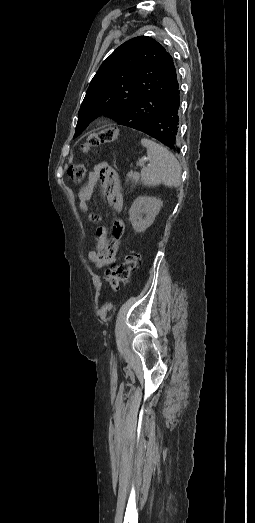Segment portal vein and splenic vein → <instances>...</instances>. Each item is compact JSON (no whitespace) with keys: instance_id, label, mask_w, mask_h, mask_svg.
<instances>
[{"instance_id":"1","label":"portal vein and splenic vein","mask_w":255,"mask_h":523,"mask_svg":"<svg viewBox=\"0 0 255 523\" xmlns=\"http://www.w3.org/2000/svg\"><path fill=\"white\" fill-rule=\"evenodd\" d=\"M135 165H136L137 167L147 166V161L137 160V161L135 162Z\"/></svg>"}]
</instances>
